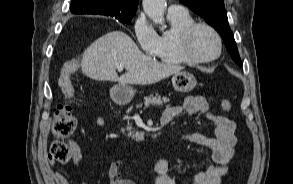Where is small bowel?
Instances as JSON below:
<instances>
[{
    "label": "small bowel",
    "mask_w": 293,
    "mask_h": 184,
    "mask_svg": "<svg viewBox=\"0 0 293 184\" xmlns=\"http://www.w3.org/2000/svg\"><path fill=\"white\" fill-rule=\"evenodd\" d=\"M195 115L203 113L206 120L214 127V136L208 137L197 133L184 134L182 141L202 146L211 151L214 165L198 172L192 179L191 184H221L222 177L228 170V163L233 158L237 139L235 136L236 124L231 119L213 113L209 110V104L202 96H189L181 106L167 108L162 115V122L166 124L182 114ZM96 123L104 126L105 121L97 118ZM82 153L77 146L72 148V163L75 168L81 163ZM54 162H51L53 165ZM125 162L117 160L112 162L107 168L109 184H136L133 180L122 177V170ZM169 163L166 157H159L154 166L155 184H179L169 176ZM52 179L56 184H71L69 180L58 171L51 172ZM79 184H87L79 181Z\"/></svg>",
    "instance_id": "obj_1"
}]
</instances>
